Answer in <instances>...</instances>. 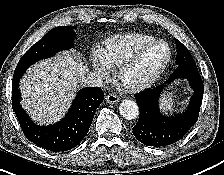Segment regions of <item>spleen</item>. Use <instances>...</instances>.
<instances>
[{"instance_id":"1","label":"spleen","mask_w":224,"mask_h":175,"mask_svg":"<svg viewBox=\"0 0 224 175\" xmlns=\"http://www.w3.org/2000/svg\"><path fill=\"white\" fill-rule=\"evenodd\" d=\"M160 107L166 111L170 110L172 111L174 109L175 103L173 99V93L172 92H167L161 95L160 99Z\"/></svg>"}]
</instances>
